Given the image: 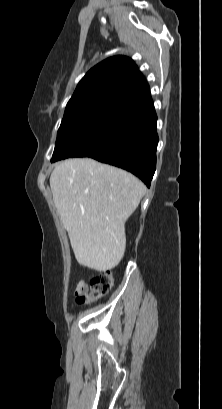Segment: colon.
I'll return each mask as SVG.
<instances>
[{
  "label": "colon",
  "instance_id": "colon-1",
  "mask_svg": "<svg viewBox=\"0 0 222 409\" xmlns=\"http://www.w3.org/2000/svg\"><path fill=\"white\" fill-rule=\"evenodd\" d=\"M114 284V276L110 270H104L90 280V291L76 295L77 305H86L109 293Z\"/></svg>",
  "mask_w": 222,
  "mask_h": 409
}]
</instances>
